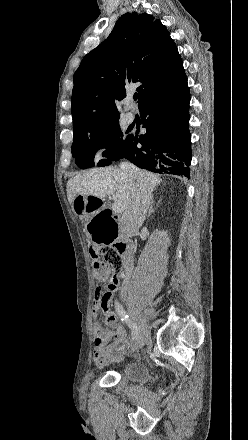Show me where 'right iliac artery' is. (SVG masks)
<instances>
[{
  "label": "right iliac artery",
  "mask_w": 248,
  "mask_h": 440,
  "mask_svg": "<svg viewBox=\"0 0 248 440\" xmlns=\"http://www.w3.org/2000/svg\"><path fill=\"white\" fill-rule=\"evenodd\" d=\"M115 307H116V311H117V313H118V314L120 315V317H121V320H122L123 322H125V323L130 327V329H131V331H132V340L137 339V337H138V333H139V330H138L136 324L133 323V322L129 319L128 314L125 312V310L123 309V306H122L119 302L116 301V303H115Z\"/></svg>",
  "instance_id": "82829eb1"
}]
</instances>
